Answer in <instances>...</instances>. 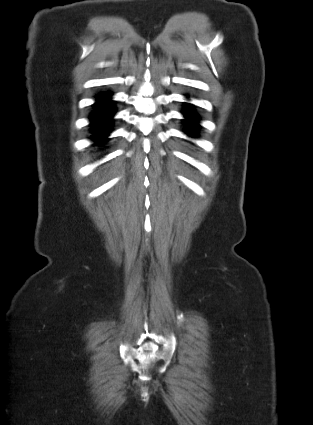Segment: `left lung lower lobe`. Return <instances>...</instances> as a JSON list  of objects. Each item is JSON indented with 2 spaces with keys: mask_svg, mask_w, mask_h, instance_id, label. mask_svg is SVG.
I'll return each instance as SVG.
<instances>
[{
  "mask_svg": "<svg viewBox=\"0 0 313 425\" xmlns=\"http://www.w3.org/2000/svg\"><path fill=\"white\" fill-rule=\"evenodd\" d=\"M183 114L186 118V120L184 121L185 129L187 131L193 130L190 136L196 137L198 133L197 130L199 128V124L197 123V121L199 120L198 115L192 109L190 104H186V108L184 109Z\"/></svg>",
  "mask_w": 313,
  "mask_h": 425,
  "instance_id": "1",
  "label": "left lung lower lobe"
}]
</instances>
